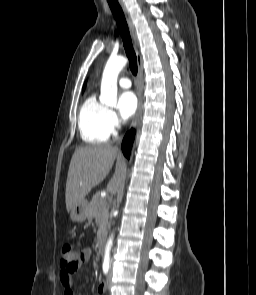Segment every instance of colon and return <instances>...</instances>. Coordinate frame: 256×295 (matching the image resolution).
<instances>
[{"label":"colon","mask_w":256,"mask_h":295,"mask_svg":"<svg viewBox=\"0 0 256 295\" xmlns=\"http://www.w3.org/2000/svg\"><path fill=\"white\" fill-rule=\"evenodd\" d=\"M60 264L64 269L71 271L75 270L79 264V255L75 248L69 243H65L61 247Z\"/></svg>","instance_id":"colon-1"}]
</instances>
